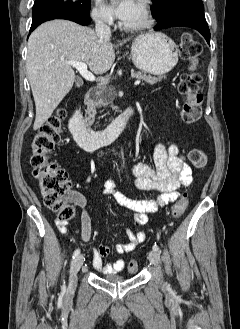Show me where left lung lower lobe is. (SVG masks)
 Wrapping results in <instances>:
<instances>
[{
	"mask_svg": "<svg viewBox=\"0 0 240 329\" xmlns=\"http://www.w3.org/2000/svg\"><path fill=\"white\" fill-rule=\"evenodd\" d=\"M188 26L198 30L210 44V31L205 19L204 11L194 9H177L168 13L154 27L160 30L169 27Z\"/></svg>",
	"mask_w": 240,
	"mask_h": 329,
	"instance_id": "0a47b994",
	"label": "left lung lower lobe"
}]
</instances>
